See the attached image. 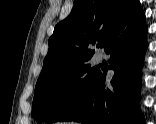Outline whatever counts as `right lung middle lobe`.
<instances>
[{"label":"right lung middle lobe","mask_w":156,"mask_h":124,"mask_svg":"<svg viewBox=\"0 0 156 124\" xmlns=\"http://www.w3.org/2000/svg\"><path fill=\"white\" fill-rule=\"evenodd\" d=\"M99 73L84 62L38 79L33 118L37 122L59 121L81 99Z\"/></svg>","instance_id":"obj_1"}]
</instances>
